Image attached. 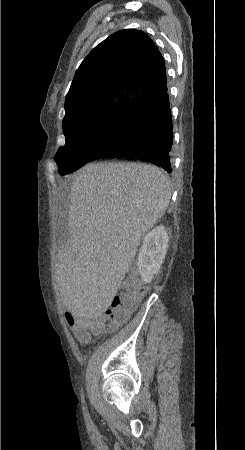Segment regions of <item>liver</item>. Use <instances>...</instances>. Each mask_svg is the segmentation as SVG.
I'll use <instances>...</instances> for the list:
<instances>
[{"instance_id":"obj_1","label":"liver","mask_w":245,"mask_h":450,"mask_svg":"<svg viewBox=\"0 0 245 450\" xmlns=\"http://www.w3.org/2000/svg\"><path fill=\"white\" fill-rule=\"evenodd\" d=\"M171 198L165 173L141 163L85 165L70 193L71 238L57 254V284L63 304L88 318L105 312L134 261L147 231Z\"/></svg>"}]
</instances>
